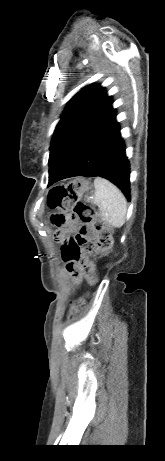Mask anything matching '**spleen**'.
I'll return each instance as SVG.
<instances>
[{"label": "spleen", "instance_id": "obj_1", "mask_svg": "<svg viewBox=\"0 0 165 461\" xmlns=\"http://www.w3.org/2000/svg\"><path fill=\"white\" fill-rule=\"evenodd\" d=\"M93 204L97 205L103 221L120 228L126 220L127 201L123 193L104 178H95Z\"/></svg>", "mask_w": 165, "mask_h": 461}]
</instances>
